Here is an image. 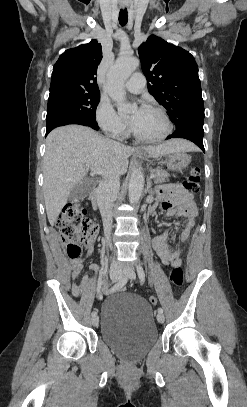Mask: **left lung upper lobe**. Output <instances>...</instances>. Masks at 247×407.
I'll return each mask as SVG.
<instances>
[{
	"label": "left lung upper lobe",
	"instance_id": "left-lung-upper-lobe-1",
	"mask_svg": "<svg viewBox=\"0 0 247 407\" xmlns=\"http://www.w3.org/2000/svg\"><path fill=\"white\" fill-rule=\"evenodd\" d=\"M138 53L148 91L175 125L190 117L204 118L198 68L189 52L151 35Z\"/></svg>",
	"mask_w": 247,
	"mask_h": 407
}]
</instances>
